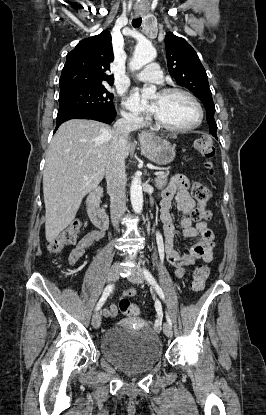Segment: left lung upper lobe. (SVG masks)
<instances>
[{
  "instance_id": "1",
  "label": "left lung upper lobe",
  "mask_w": 266,
  "mask_h": 415,
  "mask_svg": "<svg viewBox=\"0 0 266 415\" xmlns=\"http://www.w3.org/2000/svg\"><path fill=\"white\" fill-rule=\"evenodd\" d=\"M165 47L170 75L179 85L190 90L204 103L210 133L217 139V125L214 119L215 106L206 71L197 53L184 38L177 37L173 33L166 34Z\"/></svg>"
}]
</instances>
